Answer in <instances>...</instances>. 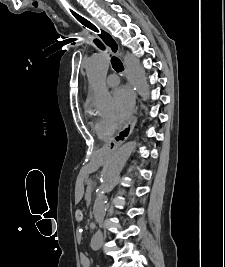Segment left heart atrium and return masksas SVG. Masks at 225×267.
<instances>
[{
    "mask_svg": "<svg viewBox=\"0 0 225 267\" xmlns=\"http://www.w3.org/2000/svg\"><path fill=\"white\" fill-rule=\"evenodd\" d=\"M114 102L116 108V118L119 121L125 120L131 113L134 97L127 87H119L114 91Z\"/></svg>",
    "mask_w": 225,
    "mask_h": 267,
    "instance_id": "obj_1",
    "label": "left heart atrium"
}]
</instances>
